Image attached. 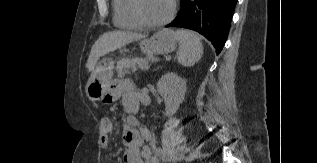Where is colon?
<instances>
[{
  "label": "colon",
  "instance_id": "obj_1",
  "mask_svg": "<svg viewBox=\"0 0 317 163\" xmlns=\"http://www.w3.org/2000/svg\"><path fill=\"white\" fill-rule=\"evenodd\" d=\"M113 101V98L111 97V96H107L106 98H105V102L106 103H111Z\"/></svg>",
  "mask_w": 317,
  "mask_h": 163
}]
</instances>
